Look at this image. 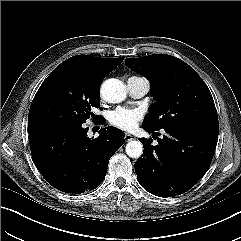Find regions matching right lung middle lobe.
<instances>
[{
  "label": "right lung middle lobe",
  "mask_w": 241,
  "mask_h": 241,
  "mask_svg": "<svg viewBox=\"0 0 241 241\" xmlns=\"http://www.w3.org/2000/svg\"><path fill=\"white\" fill-rule=\"evenodd\" d=\"M100 106L99 88L82 82L70 65L61 63L37 91L29 110L28 128L81 124Z\"/></svg>",
  "instance_id": "1"
}]
</instances>
